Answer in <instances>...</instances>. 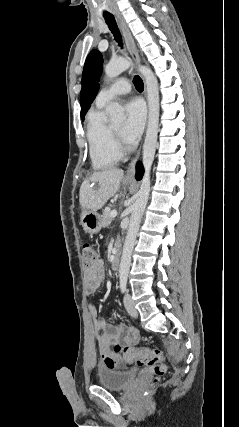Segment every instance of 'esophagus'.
<instances>
[{"instance_id":"34e87169","label":"esophagus","mask_w":239,"mask_h":427,"mask_svg":"<svg viewBox=\"0 0 239 427\" xmlns=\"http://www.w3.org/2000/svg\"><path fill=\"white\" fill-rule=\"evenodd\" d=\"M116 16H117V19H118V22H119V25H120L126 46H127V49L129 51V53L131 54L132 58L134 59V61L136 62V64L140 65L141 64V58L139 55V51L136 47V44H135V42L132 38V35L130 33V30H129L125 20L123 19L122 15L120 13H116ZM142 79L144 82V94L146 97V84H145V80H144L143 76H142ZM140 153H141V148L138 150L136 156L134 157V159L132 160V162L130 163V165L127 169V172L125 175L126 179H130V180L134 179L135 165H136L137 160L140 157Z\"/></svg>"}]
</instances>
